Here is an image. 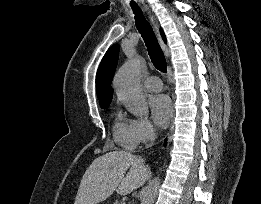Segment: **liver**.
<instances>
[{"instance_id":"6515ba94","label":"liver","mask_w":261,"mask_h":204,"mask_svg":"<svg viewBox=\"0 0 261 204\" xmlns=\"http://www.w3.org/2000/svg\"><path fill=\"white\" fill-rule=\"evenodd\" d=\"M148 176V168L141 157L127 151H111L96 158L88 167L74 204H97L115 190L127 195L143 185Z\"/></svg>"}]
</instances>
